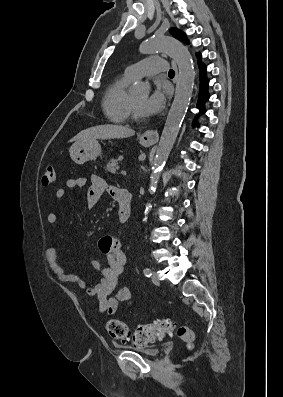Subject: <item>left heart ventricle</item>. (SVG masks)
Instances as JSON below:
<instances>
[{
  "label": "left heart ventricle",
  "instance_id": "1",
  "mask_svg": "<svg viewBox=\"0 0 283 397\" xmlns=\"http://www.w3.org/2000/svg\"><path fill=\"white\" fill-rule=\"evenodd\" d=\"M145 99H146L145 95H139V96L132 97L133 103H134V105H135V107H136V109H137V111H138V113L140 115H142L141 112H140V106H141V104L143 103V101Z\"/></svg>",
  "mask_w": 283,
  "mask_h": 397
}]
</instances>
